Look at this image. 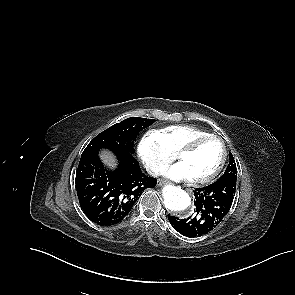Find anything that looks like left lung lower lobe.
Segmentation results:
<instances>
[{"label":"left lung lower lobe","mask_w":295,"mask_h":295,"mask_svg":"<svg viewBox=\"0 0 295 295\" xmlns=\"http://www.w3.org/2000/svg\"><path fill=\"white\" fill-rule=\"evenodd\" d=\"M236 190V179L223 178L194 191L195 216L178 219L168 215L171 225L187 237L202 236L215 228L228 214Z\"/></svg>","instance_id":"0a47b994"}]
</instances>
